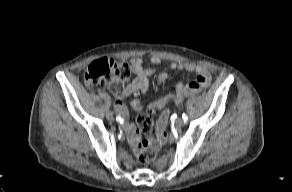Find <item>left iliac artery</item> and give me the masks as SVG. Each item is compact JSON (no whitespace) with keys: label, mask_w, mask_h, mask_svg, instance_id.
Returning a JSON list of instances; mask_svg holds the SVG:
<instances>
[{"label":"left iliac artery","mask_w":292,"mask_h":192,"mask_svg":"<svg viewBox=\"0 0 292 192\" xmlns=\"http://www.w3.org/2000/svg\"><path fill=\"white\" fill-rule=\"evenodd\" d=\"M182 118H183L184 122H186L188 120V116L185 113H183Z\"/></svg>","instance_id":"1"}]
</instances>
